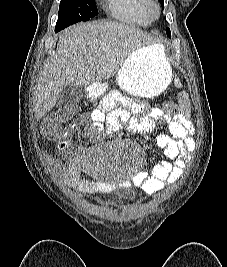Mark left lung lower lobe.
<instances>
[{
	"label": "left lung lower lobe",
	"mask_w": 227,
	"mask_h": 267,
	"mask_svg": "<svg viewBox=\"0 0 227 267\" xmlns=\"http://www.w3.org/2000/svg\"><path fill=\"white\" fill-rule=\"evenodd\" d=\"M166 33H167L168 37H171V33H170V29L169 28L166 30Z\"/></svg>",
	"instance_id": "1"
}]
</instances>
